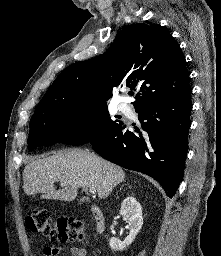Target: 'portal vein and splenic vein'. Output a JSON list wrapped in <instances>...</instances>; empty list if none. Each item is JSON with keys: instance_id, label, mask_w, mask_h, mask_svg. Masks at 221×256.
<instances>
[{"instance_id": "18ae733b", "label": "portal vein and splenic vein", "mask_w": 221, "mask_h": 256, "mask_svg": "<svg viewBox=\"0 0 221 256\" xmlns=\"http://www.w3.org/2000/svg\"><path fill=\"white\" fill-rule=\"evenodd\" d=\"M61 185L64 186L65 183H61ZM89 191H90V193H92V194H95V193H96V189H95V188H90Z\"/></svg>"}]
</instances>
